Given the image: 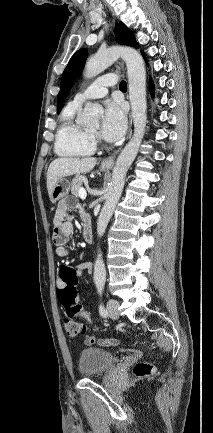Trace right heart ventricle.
Wrapping results in <instances>:
<instances>
[{
	"label": "right heart ventricle",
	"mask_w": 213,
	"mask_h": 433,
	"mask_svg": "<svg viewBox=\"0 0 213 433\" xmlns=\"http://www.w3.org/2000/svg\"><path fill=\"white\" fill-rule=\"evenodd\" d=\"M79 110L80 105L73 102L63 110L55 140V151L60 156L84 157L95 152V144L89 132L75 120Z\"/></svg>",
	"instance_id": "right-heart-ventricle-1"
}]
</instances>
